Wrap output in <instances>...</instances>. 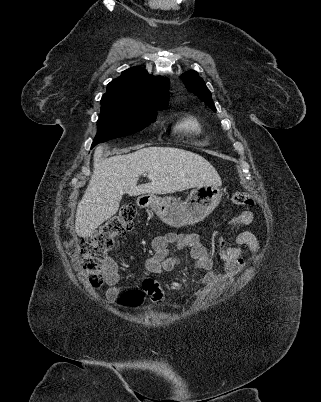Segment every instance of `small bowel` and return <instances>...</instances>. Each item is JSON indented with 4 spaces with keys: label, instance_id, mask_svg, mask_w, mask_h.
Returning a JSON list of instances; mask_svg holds the SVG:
<instances>
[{
    "label": "small bowel",
    "instance_id": "small-bowel-1",
    "mask_svg": "<svg viewBox=\"0 0 321 402\" xmlns=\"http://www.w3.org/2000/svg\"><path fill=\"white\" fill-rule=\"evenodd\" d=\"M255 222V215L251 210H243L234 215L229 224L233 227L249 226ZM174 244L177 250H188L193 260V268L196 272L206 271L200 277L199 284L203 287H211L223 278L236 276L244 268L242 248L247 247L251 252L259 250V243L250 230L241 231L234 243L227 244L222 239L218 240V254L223 262L221 270L213 269V258L202 244L200 236L195 233L176 234L167 233L158 236L153 241L154 254L148 257L144 263V269L149 274H160L174 270L179 265V259L171 255L170 245ZM121 275L117 265L112 260H106V282L108 288L106 296L113 300L119 294ZM144 290L150 294L154 303H161L165 298L164 290L152 280H144Z\"/></svg>",
    "mask_w": 321,
    "mask_h": 402
}]
</instances>
